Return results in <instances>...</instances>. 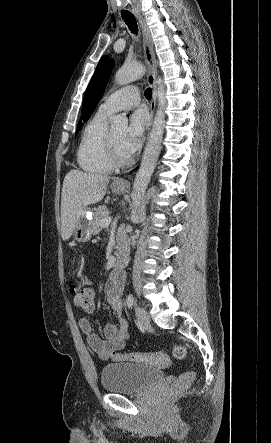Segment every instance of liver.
<instances>
[{
  "label": "liver",
  "mask_w": 271,
  "mask_h": 443,
  "mask_svg": "<svg viewBox=\"0 0 271 443\" xmlns=\"http://www.w3.org/2000/svg\"><path fill=\"white\" fill-rule=\"evenodd\" d=\"M109 178L70 170L63 182L61 196V235L66 241L71 237L79 218L85 214L86 206L103 200Z\"/></svg>",
  "instance_id": "6515ba94"
}]
</instances>
